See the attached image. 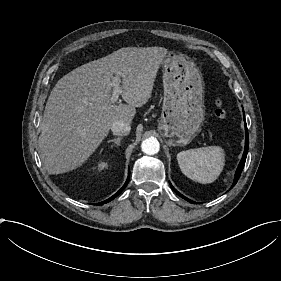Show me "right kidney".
Wrapping results in <instances>:
<instances>
[{"label": "right kidney", "mask_w": 281, "mask_h": 281, "mask_svg": "<svg viewBox=\"0 0 281 281\" xmlns=\"http://www.w3.org/2000/svg\"><path fill=\"white\" fill-rule=\"evenodd\" d=\"M93 168L97 171V172H103L105 170H108L110 168V161L109 160H105V159H100L98 160L95 165L93 166Z\"/></svg>", "instance_id": "obj_1"}]
</instances>
